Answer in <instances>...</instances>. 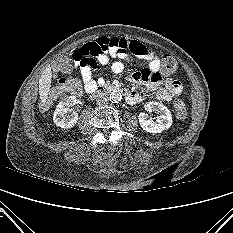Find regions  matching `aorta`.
I'll return each mask as SVG.
<instances>
[{
    "mask_svg": "<svg viewBox=\"0 0 233 233\" xmlns=\"http://www.w3.org/2000/svg\"><path fill=\"white\" fill-rule=\"evenodd\" d=\"M121 99H122V94L119 91L115 90L110 93L111 102L118 103L121 101Z\"/></svg>",
    "mask_w": 233,
    "mask_h": 233,
    "instance_id": "762f6f07",
    "label": "aorta"
}]
</instances>
